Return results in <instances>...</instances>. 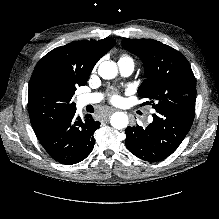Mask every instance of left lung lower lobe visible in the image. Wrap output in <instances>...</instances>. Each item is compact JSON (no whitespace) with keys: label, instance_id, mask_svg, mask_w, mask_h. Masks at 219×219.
<instances>
[{"label":"left lung lower lobe","instance_id":"0a47b994","mask_svg":"<svg viewBox=\"0 0 219 219\" xmlns=\"http://www.w3.org/2000/svg\"><path fill=\"white\" fill-rule=\"evenodd\" d=\"M195 115V104L173 109H158L146 128L127 127V149L140 159L156 162L170 156L189 132Z\"/></svg>","mask_w":219,"mask_h":219}]
</instances>
